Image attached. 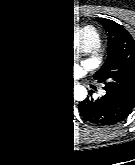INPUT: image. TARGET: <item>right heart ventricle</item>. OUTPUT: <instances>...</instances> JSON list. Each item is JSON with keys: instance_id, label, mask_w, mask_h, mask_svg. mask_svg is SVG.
<instances>
[{"instance_id": "obj_1", "label": "right heart ventricle", "mask_w": 135, "mask_h": 165, "mask_svg": "<svg viewBox=\"0 0 135 165\" xmlns=\"http://www.w3.org/2000/svg\"><path fill=\"white\" fill-rule=\"evenodd\" d=\"M87 32H88L87 29L80 30V31H78V35H83V34H86Z\"/></svg>"}]
</instances>
